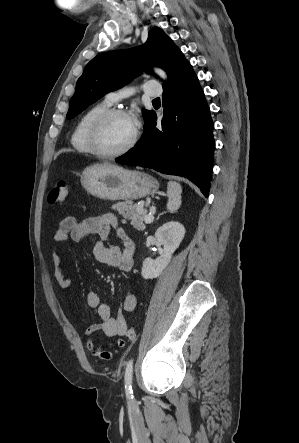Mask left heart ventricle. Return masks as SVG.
<instances>
[{"mask_svg": "<svg viewBox=\"0 0 299 443\" xmlns=\"http://www.w3.org/2000/svg\"><path fill=\"white\" fill-rule=\"evenodd\" d=\"M134 133V123L127 117H114L106 122L99 136V146L105 152L125 147Z\"/></svg>", "mask_w": 299, "mask_h": 443, "instance_id": "1", "label": "left heart ventricle"}]
</instances>
